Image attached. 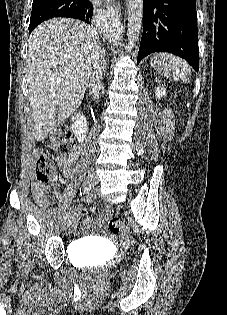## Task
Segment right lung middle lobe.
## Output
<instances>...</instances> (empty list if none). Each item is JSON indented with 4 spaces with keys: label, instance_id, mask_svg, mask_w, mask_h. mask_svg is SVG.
I'll return each mask as SVG.
<instances>
[{
    "label": "right lung middle lobe",
    "instance_id": "right-lung-middle-lobe-1",
    "mask_svg": "<svg viewBox=\"0 0 227 315\" xmlns=\"http://www.w3.org/2000/svg\"><path fill=\"white\" fill-rule=\"evenodd\" d=\"M79 0H33L29 33L45 20L61 17L63 10Z\"/></svg>",
    "mask_w": 227,
    "mask_h": 315
}]
</instances>
